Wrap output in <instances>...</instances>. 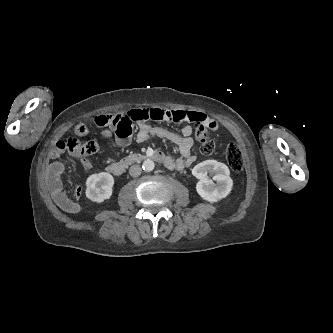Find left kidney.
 I'll use <instances>...</instances> for the list:
<instances>
[{"mask_svg":"<svg viewBox=\"0 0 333 333\" xmlns=\"http://www.w3.org/2000/svg\"><path fill=\"white\" fill-rule=\"evenodd\" d=\"M211 173L215 176L213 180L207 178V174ZM192 174L199 179L196 190L197 193L206 201L216 202L225 198L233 187V180L230 177L228 167L216 160H206L197 164Z\"/></svg>","mask_w":333,"mask_h":333,"instance_id":"left-kidney-1","label":"left kidney"}]
</instances>
